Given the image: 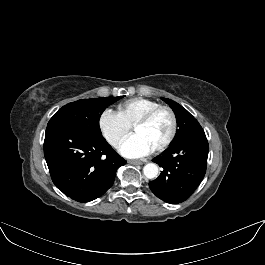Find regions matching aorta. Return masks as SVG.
I'll return each mask as SVG.
<instances>
[{"label":"aorta","instance_id":"762f6f07","mask_svg":"<svg viewBox=\"0 0 265 265\" xmlns=\"http://www.w3.org/2000/svg\"><path fill=\"white\" fill-rule=\"evenodd\" d=\"M143 173L148 179H153L158 175V166L155 163H148L144 166Z\"/></svg>","mask_w":265,"mask_h":265}]
</instances>
